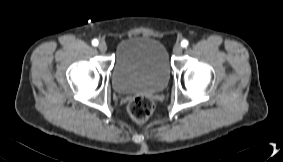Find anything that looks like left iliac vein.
Returning <instances> with one entry per match:
<instances>
[{
  "instance_id": "1",
  "label": "left iliac vein",
  "mask_w": 283,
  "mask_h": 162,
  "mask_svg": "<svg viewBox=\"0 0 283 162\" xmlns=\"http://www.w3.org/2000/svg\"><path fill=\"white\" fill-rule=\"evenodd\" d=\"M173 53L175 55H180L182 53V46L180 44H176L174 47H173Z\"/></svg>"
}]
</instances>
